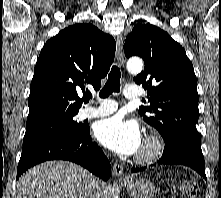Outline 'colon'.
<instances>
[{
  "label": "colon",
  "mask_w": 221,
  "mask_h": 198,
  "mask_svg": "<svg viewBox=\"0 0 221 198\" xmlns=\"http://www.w3.org/2000/svg\"><path fill=\"white\" fill-rule=\"evenodd\" d=\"M182 191L186 198H198L195 190V181L188 180L182 186Z\"/></svg>",
  "instance_id": "5ec220e1"
}]
</instances>
